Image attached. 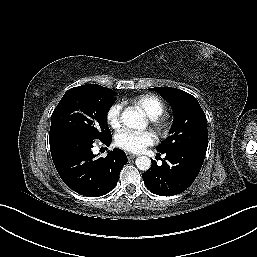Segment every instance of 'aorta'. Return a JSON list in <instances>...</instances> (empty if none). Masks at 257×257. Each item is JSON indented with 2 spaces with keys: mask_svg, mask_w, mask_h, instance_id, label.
<instances>
[{
  "mask_svg": "<svg viewBox=\"0 0 257 257\" xmlns=\"http://www.w3.org/2000/svg\"><path fill=\"white\" fill-rule=\"evenodd\" d=\"M121 120L129 128L145 129L146 127L144 116L133 108H126L121 115ZM135 164L139 170L147 171L151 167V160L147 156H139Z\"/></svg>",
  "mask_w": 257,
  "mask_h": 257,
  "instance_id": "obj_1",
  "label": "aorta"
}]
</instances>
